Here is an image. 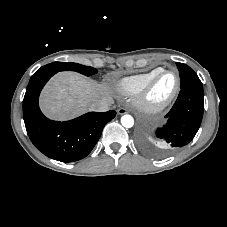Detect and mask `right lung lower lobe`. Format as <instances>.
I'll use <instances>...</instances> for the list:
<instances>
[{"instance_id": "right-lung-lower-lobe-1", "label": "right lung lower lobe", "mask_w": 227, "mask_h": 227, "mask_svg": "<svg viewBox=\"0 0 227 227\" xmlns=\"http://www.w3.org/2000/svg\"><path fill=\"white\" fill-rule=\"evenodd\" d=\"M54 74L45 72L31 77L23 100L25 127L32 143L46 156L61 162L78 161L91 152L116 112H89L65 122L49 120L40 111L38 98Z\"/></svg>"}]
</instances>
